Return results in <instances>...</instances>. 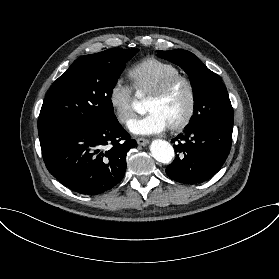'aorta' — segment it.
<instances>
[{
  "instance_id": "762f6f07",
  "label": "aorta",
  "mask_w": 279,
  "mask_h": 279,
  "mask_svg": "<svg viewBox=\"0 0 279 279\" xmlns=\"http://www.w3.org/2000/svg\"><path fill=\"white\" fill-rule=\"evenodd\" d=\"M135 109L139 112L141 107L135 104ZM152 156L160 163L169 164L174 158V149L171 144L165 140H154L150 145Z\"/></svg>"
}]
</instances>
